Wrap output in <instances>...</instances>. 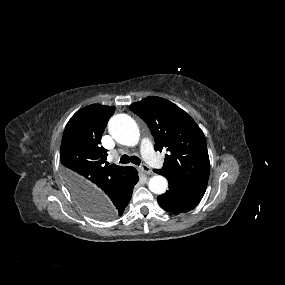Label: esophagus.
<instances>
[{
	"instance_id": "34e87169",
	"label": "esophagus",
	"mask_w": 285,
	"mask_h": 285,
	"mask_svg": "<svg viewBox=\"0 0 285 285\" xmlns=\"http://www.w3.org/2000/svg\"><path fill=\"white\" fill-rule=\"evenodd\" d=\"M140 170H141V172H143L144 174H147V175L152 173L151 168L149 166H147V165L141 166Z\"/></svg>"
}]
</instances>
